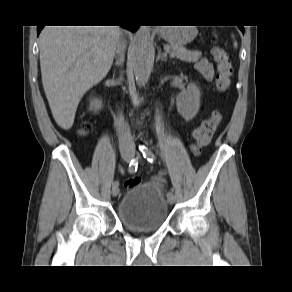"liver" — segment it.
Returning a JSON list of instances; mask_svg holds the SVG:
<instances>
[{"label":"liver","instance_id":"obj_1","mask_svg":"<svg viewBox=\"0 0 292 292\" xmlns=\"http://www.w3.org/2000/svg\"><path fill=\"white\" fill-rule=\"evenodd\" d=\"M118 26H46L39 36L44 91L56 123L72 127L83 95L109 72Z\"/></svg>","mask_w":292,"mask_h":292}]
</instances>
